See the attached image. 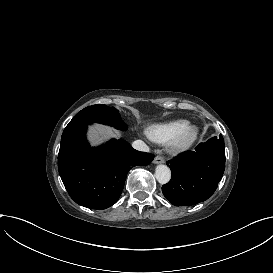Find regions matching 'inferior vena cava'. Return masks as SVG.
<instances>
[{"label": "inferior vena cava", "instance_id": "obj_1", "mask_svg": "<svg viewBox=\"0 0 273 273\" xmlns=\"http://www.w3.org/2000/svg\"><path fill=\"white\" fill-rule=\"evenodd\" d=\"M132 147L138 151H149V146L143 140L134 141Z\"/></svg>", "mask_w": 273, "mask_h": 273}]
</instances>
